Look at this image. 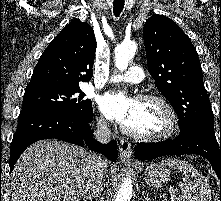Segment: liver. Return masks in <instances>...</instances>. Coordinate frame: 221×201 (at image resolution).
<instances>
[{"mask_svg":"<svg viewBox=\"0 0 221 201\" xmlns=\"http://www.w3.org/2000/svg\"><path fill=\"white\" fill-rule=\"evenodd\" d=\"M95 158L57 140L32 144L12 171V201H80L90 189Z\"/></svg>","mask_w":221,"mask_h":201,"instance_id":"1","label":"liver"}]
</instances>
